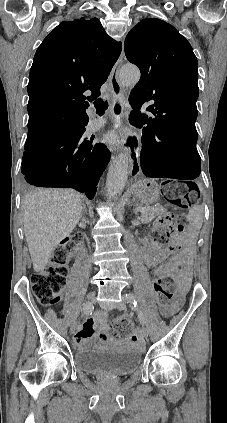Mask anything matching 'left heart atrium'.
<instances>
[{"label": "left heart atrium", "mask_w": 227, "mask_h": 423, "mask_svg": "<svg viewBox=\"0 0 227 423\" xmlns=\"http://www.w3.org/2000/svg\"><path fill=\"white\" fill-rule=\"evenodd\" d=\"M132 135L133 133L129 129H118L106 134L105 141L111 147H120L126 144Z\"/></svg>", "instance_id": "39dd6f15"}]
</instances>
